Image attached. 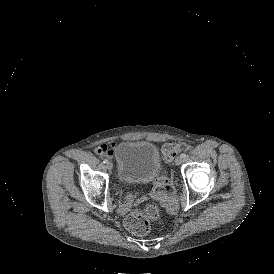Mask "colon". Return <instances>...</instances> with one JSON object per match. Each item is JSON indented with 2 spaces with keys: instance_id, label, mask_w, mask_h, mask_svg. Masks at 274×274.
Wrapping results in <instances>:
<instances>
[{
  "instance_id": "5ec220e1",
  "label": "colon",
  "mask_w": 274,
  "mask_h": 274,
  "mask_svg": "<svg viewBox=\"0 0 274 274\" xmlns=\"http://www.w3.org/2000/svg\"><path fill=\"white\" fill-rule=\"evenodd\" d=\"M190 140L187 137H180L176 141H168L162 145V152L165 155L159 157L161 166H168L170 158H175L180 150H187L190 147ZM155 187L171 188L170 180L167 176H160L154 182ZM160 217V209L151 202H146L140 209L129 214L124 220V228L134 236L146 235L153 224Z\"/></svg>"
}]
</instances>
